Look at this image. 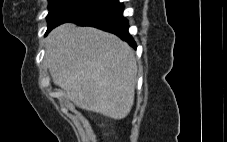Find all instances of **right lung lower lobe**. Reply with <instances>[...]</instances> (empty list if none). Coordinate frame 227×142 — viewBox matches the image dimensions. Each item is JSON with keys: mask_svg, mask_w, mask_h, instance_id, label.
Wrapping results in <instances>:
<instances>
[{"mask_svg": "<svg viewBox=\"0 0 227 142\" xmlns=\"http://www.w3.org/2000/svg\"><path fill=\"white\" fill-rule=\"evenodd\" d=\"M123 10V4L119 3L118 0H114L110 5L102 9L66 22H73L80 26H92L111 32L136 48V43L128 33V20L123 17Z\"/></svg>", "mask_w": 227, "mask_h": 142, "instance_id": "1", "label": "right lung lower lobe"}]
</instances>
